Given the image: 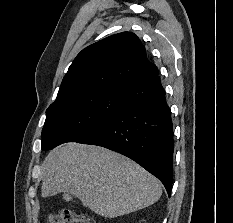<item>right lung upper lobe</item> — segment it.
I'll return each instance as SVG.
<instances>
[{
  "label": "right lung upper lobe",
  "mask_w": 233,
  "mask_h": 223,
  "mask_svg": "<svg viewBox=\"0 0 233 223\" xmlns=\"http://www.w3.org/2000/svg\"><path fill=\"white\" fill-rule=\"evenodd\" d=\"M145 47L130 32L102 39L83 49L63 78L57 98L92 89H125L158 75Z\"/></svg>",
  "instance_id": "right-lung-upper-lobe-1"
}]
</instances>
